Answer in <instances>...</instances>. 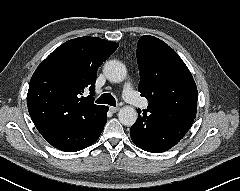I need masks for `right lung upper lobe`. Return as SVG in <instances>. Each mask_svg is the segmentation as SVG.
<instances>
[{
	"mask_svg": "<svg viewBox=\"0 0 240 191\" xmlns=\"http://www.w3.org/2000/svg\"><path fill=\"white\" fill-rule=\"evenodd\" d=\"M118 43L98 37L69 40L34 72L28 89L29 114L41 133L60 124L80 125L104 108L94 104L96 74ZM89 90L90 95L82 96Z\"/></svg>",
	"mask_w": 240,
	"mask_h": 191,
	"instance_id": "1",
	"label": "right lung upper lobe"
}]
</instances>
